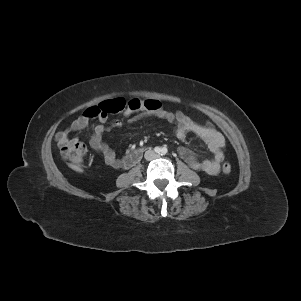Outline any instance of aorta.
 I'll return each mask as SVG.
<instances>
[{
  "label": "aorta",
  "instance_id": "aorta-1",
  "mask_svg": "<svg viewBox=\"0 0 301 301\" xmlns=\"http://www.w3.org/2000/svg\"><path fill=\"white\" fill-rule=\"evenodd\" d=\"M158 153L160 154V153H163V149H158Z\"/></svg>",
  "mask_w": 301,
  "mask_h": 301
}]
</instances>
